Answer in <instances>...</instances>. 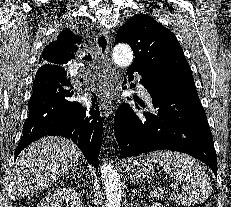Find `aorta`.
I'll return each instance as SVG.
<instances>
[{"instance_id": "762f6f07", "label": "aorta", "mask_w": 231, "mask_h": 207, "mask_svg": "<svg viewBox=\"0 0 231 207\" xmlns=\"http://www.w3.org/2000/svg\"><path fill=\"white\" fill-rule=\"evenodd\" d=\"M114 63L120 67L132 64L133 51L127 44H118L112 53ZM101 181L106 193L105 207H120L122 200V184L117 170L108 163L100 166Z\"/></svg>"}]
</instances>
